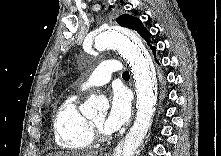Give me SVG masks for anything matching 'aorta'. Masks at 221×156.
<instances>
[{"instance_id":"1","label":"aorta","mask_w":221,"mask_h":156,"mask_svg":"<svg viewBox=\"0 0 221 156\" xmlns=\"http://www.w3.org/2000/svg\"><path fill=\"white\" fill-rule=\"evenodd\" d=\"M96 49H115L129 63L136 87V119L125 137L121 151L114 156H133L140 147L155 111L157 98V79L154 65L141 40L130 30L111 26L94 38ZM108 101L100 96L91 95L82 105L81 113L93 117L108 109Z\"/></svg>"}]
</instances>
